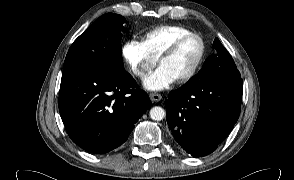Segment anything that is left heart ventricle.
<instances>
[{
  "instance_id": "1",
  "label": "left heart ventricle",
  "mask_w": 294,
  "mask_h": 180,
  "mask_svg": "<svg viewBox=\"0 0 294 180\" xmlns=\"http://www.w3.org/2000/svg\"><path fill=\"white\" fill-rule=\"evenodd\" d=\"M199 52V41L196 38H190L172 56L162 60L160 66L165 67L175 80H178L191 70Z\"/></svg>"
}]
</instances>
